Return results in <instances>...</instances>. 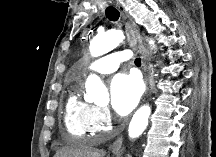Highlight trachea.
<instances>
[{"mask_svg":"<svg viewBox=\"0 0 216 157\" xmlns=\"http://www.w3.org/2000/svg\"><path fill=\"white\" fill-rule=\"evenodd\" d=\"M106 17L110 20V21H117L120 17V13L119 11L113 7V6H108L106 8ZM135 64L136 65H141V60L140 58L135 59Z\"/></svg>","mask_w":216,"mask_h":157,"instance_id":"obj_1","label":"trachea"}]
</instances>
